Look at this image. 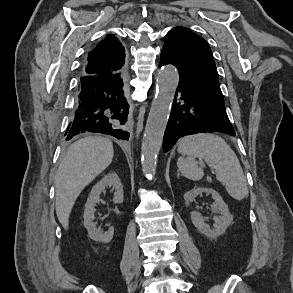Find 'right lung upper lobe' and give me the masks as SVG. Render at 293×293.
<instances>
[{
  "instance_id": "1",
  "label": "right lung upper lobe",
  "mask_w": 293,
  "mask_h": 293,
  "mask_svg": "<svg viewBox=\"0 0 293 293\" xmlns=\"http://www.w3.org/2000/svg\"><path fill=\"white\" fill-rule=\"evenodd\" d=\"M125 48L113 35H107L89 52L83 76H105L123 74Z\"/></svg>"
}]
</instances>
